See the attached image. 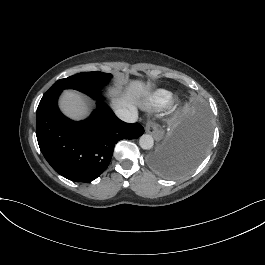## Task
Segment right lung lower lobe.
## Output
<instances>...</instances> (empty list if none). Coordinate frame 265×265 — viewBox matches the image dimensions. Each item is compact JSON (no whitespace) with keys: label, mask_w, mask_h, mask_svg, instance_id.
<instances>
[{"label":"right lung lower lobe","mask_w":265,"mask_h":265,"mask_svg":"<svg viewBox=\"0 0 265 265\" xmlns=\"http://www.w3.org/2000/svg\"><path fill=\"white\" fill-rule=\"evenodd\" d=\"M61 92H46L38 105V144L57 173L72 181L90 182L108 167L115 144L138 138L144 128L121 121L102 101L90 118L72 121L57 106Z\"/></svg>","instance_id":"right-lung-lower-lobe-1"}]
</instances>
